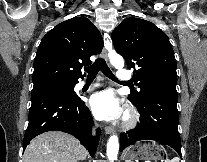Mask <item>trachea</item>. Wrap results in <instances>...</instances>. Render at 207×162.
<instances>
[{"label": "trachea", "instance_id": "obj_1", "mask_svg": "<svg viewBox=\"0 0 207 162\" xmlns=\"http://www.w3.org/2000/svg\"><path fill=\"white\" fill-rule=\"evenodd\" d=\"M99 70H101L106 77L114 81H118V79L113 75L112 71L109 69L103 58L96 59L93 65L85 68V71L88 73L87 79H94Z\"/></svg>", "mask_w": 207, "mask_h": 162}]
</instances>
